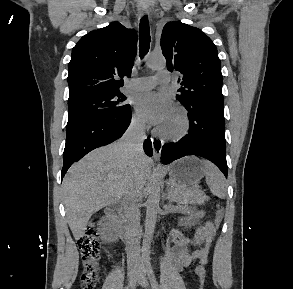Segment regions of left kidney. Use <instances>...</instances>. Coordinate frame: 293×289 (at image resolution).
Segmentation results:
<instances>
[{
  "label": "left kidney",
  "mask_w": 293,
  "mask_h": 289,
  "mask_svg": "<svg viewBox=\"0 0 293 289\" xmlns=\"http://www.w3.org/2000/svg\"><path fill=\"white\" fill-rule=\"evenodd\" d=\"M181 223L182 225H184L185 227H191L194 225V222L191 221V218H182L181 219Z\"/></svg>",
  "instance_id": "left-kidney-1"
}]
</instances>
